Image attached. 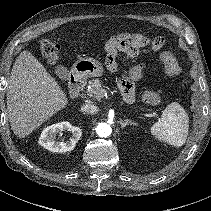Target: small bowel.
I'll return each instance as SVG.
<instances>
[{
  "mask_svg": "<svg viewBox=\"0 0 211 211\" xmlns=\"http://www.w3.org/2000/svg\"><path fill=\"white\" fill-rule=\"evenodd\" d=\"M127 34H132V32H126ZM112 44L110 40L105 46L108 47ZM111 71H116V66L110 69ZM142 76V71L139 68L133 69L127 76H122L119 80V88L122 93L123 99L127 103H133L135 100V90L133 82Z\"/></svg>",
  "mask_w": 211,
  "mask_h": 211,
  "instance_id": "1",
  "label": "small bowel"
}]
</instances>
